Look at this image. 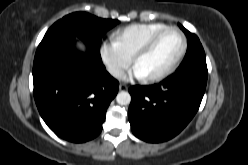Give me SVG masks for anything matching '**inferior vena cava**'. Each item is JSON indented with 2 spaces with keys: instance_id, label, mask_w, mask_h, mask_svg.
<instances>
[{
  "instance_id": "inferior-vena-cava-1",
  "label": "inferior vena cava",
  "mask_w": 248,
  "mask_h": 165,
  "mask_svg": "<svg viewBox=\"0 0 248 165\" xmlns=\"http://www.w3.org/2000/svg\"><path fill=\"white\" fill-rule=\"evenodd\" d=\"M108 71L110 72L111 75H113L115 77H119V76L123 75V73H124V71L118 67H110L108 69Z\"/></svg>"
}]
</instances>
